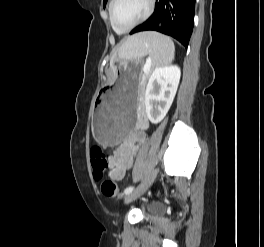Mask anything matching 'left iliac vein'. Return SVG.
Masks as SVG:
<instances>
[{
    "mask_svg": "<svg viewBox=\"0 0 264 247\" xmlns=\"http://www.w3.org/2000/svg\"><path fill=\"white\" fill-rule=\"evenodd\" d=\"M157 175V169H153L147 177L144 179V181L131 193L127 194L125 196V203H129L135 199H137L140 195H142L153 183Z\"/></svg>",
    "mask_w": 264,
    "mask_h": 247,
    "instance_id": "left-iliac-vein-1",
    "label": "left iliac vein"
}]
</instances>
